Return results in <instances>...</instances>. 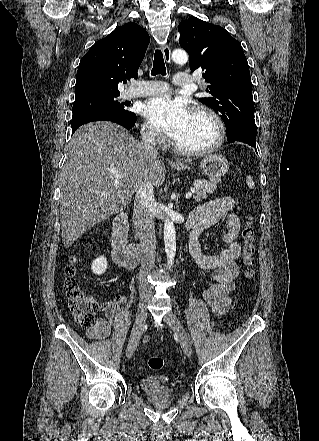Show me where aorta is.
<instances>
[{
	"instance_id": "762f6f07",
	"label": "aorta",
	"mask_w": 319,
	"mask_h": 441,
	"mask_svg": "<svg viewBox=\"0 0 319 441\" xmlns=\"http://www.w3.org/2000/svg\"><path fill=\"white\" fill-rule=\"evenodd\" d=\"M172 59L175 63L185 64L188 61V54L183 49L173 51ZM164 244L167 256V263L169 268L174 263L176 254V234L174 223L171 220H166L164 223Z\"/></svg>"
}]
</instances>
